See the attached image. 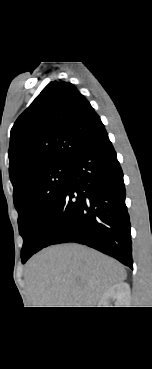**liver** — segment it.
Returning <instances> with one entry per match:
<instances>
[{"instance_id":"obj_1","label":"liver","mask_w":152,"mask_h":369,"mask_svg":"<svg viewBox=\"0 0 152 369\" xmlns=\"http://www.w3.org/2000/svg\"><path fill=\"white\" fill-rule=\"evenodd\" d=\"M126 277L119 262L79 244L48 247L26 268L32 307H95L110 287Z\"/></svg>"}]
</instances>
